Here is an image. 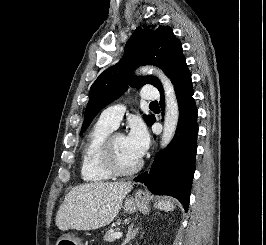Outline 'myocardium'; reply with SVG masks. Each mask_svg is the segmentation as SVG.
<instances>
[{"mask_svg": "<svg viewBox=\"0 0 266 245\" xmlns=\"http://www.w3.org/2000/svg\"><path fill=\"white\" fill-rule=\"evenodd\" d=\"M117 135L121 134L111 132L105 138L100 150V163L105 172L108 173L111 177L114 178L129 177L134 175L140 170L142 162L138 160V162L129 170H121L117 167L112 151V142L114 137Z\"/></svg>", "mask_w": 266, "mask_h": 245, "instance_id": "myocardium-1", "label": "myocardium"}]
</instances>
